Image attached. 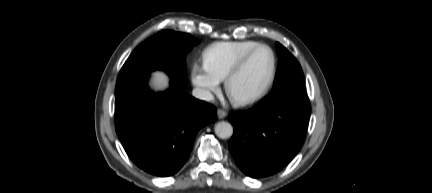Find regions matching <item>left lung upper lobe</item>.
Returning <instances> with one entry per match:
<instances>
[{"label":"left lung upper lobe","instance_id":"1","mask_svg":"<svg viewBox=\"0 0 432 193\" xmlns=\"http://www.w3.org/2000/svg\"><path fill=\"white\" fill-rule=\"evenodd\" d=\"M279 56L278 71L272 95H306L301 66L296 58L280 43H276Z\"/></svg>","mask_w":432,"mask_h":193}]
</instances>
